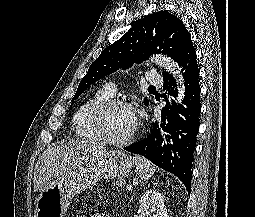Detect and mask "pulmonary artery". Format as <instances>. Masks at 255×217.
Segmentation results:
<instances>
[{
  "instance_id": "pulmonary-artery-1",
  "label": "pulmonary artery",
  "mask_w": 255,
  "mask_h": 217,
  "mask_svg": "<svg viewBox=\"0 0 255 217\" xmlns=\"http://www.w3.org/2000/svg\"><path fill=\"white\" fill-rule=\"evenodd\" d=\"M146 80L151 85L160 86L162 84V78L154 73H147ZM105 88L111 95H114L116 92V88L113 83L107 84Z\"/></svg>"
}]
</instances>
